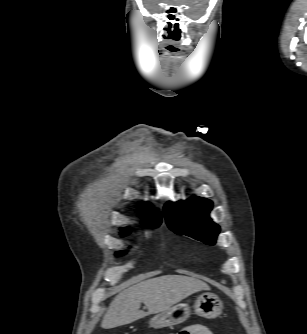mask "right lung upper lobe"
Segmentation results:
<instances>
[{
  "label": "right lung upper lobe",
  "instance_id": "cb5924a9",
  "mask_svg": "<svg viewBox=\"0 0 307 334\" xmlns=\"http://www.w3.org/2000/svg\"><path fill=\"white\" fill-rule=\"evenodd\" d=\"M146 208H148L147 205H145ZM147 218L146 219H150L152 221H154L157 225H159L161 223V216L160 214L157 212L156 214H154L152 211L147 210ZM123 231V235H127L130 233V231L126 228H122Z\"/></svg>",
  "mask_w": 307,
  "mask_h": 334
}]
</instances>
